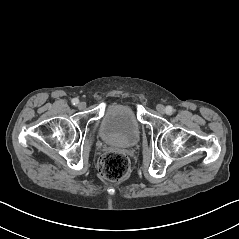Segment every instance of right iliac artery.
Returning a JSON list of instances; mask_svg holds the SVG:
<instances>
[{
	"label": "right iliac artery",
	"mask_w": 239,
	"mask_h": 239,
	"mask_svg": "<svg viewBox=\"0 0 239 239\" xmlns=\"http://www.w3.org/2000/svg\"><path fill=\"white\" fill-rule=\"evenodd\" d=\"M79 103V100L77 98L72 99V104L77 105Z\"/></svg>",
	"instance_id": "82829eb1"
}]
</instances>
